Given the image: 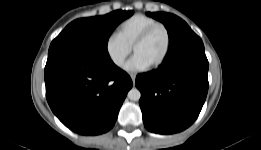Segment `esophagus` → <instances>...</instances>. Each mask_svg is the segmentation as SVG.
<instances>
[{"instance_id":"1","label":"esophagus","mask_w":261,"mask_h":150,"mask_svg":"<svg viewBox=\"0 0 261 150\" xmlns=\"http://www.w3.org/2000/svg\"><path fill=\"white\" fill-rule=\"evenodd\" d=\"M130 77L132 79L133 84H135L136 74L132 73V74H130Z\"/></svg>"}]
</instances>
